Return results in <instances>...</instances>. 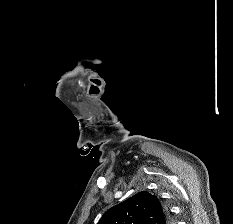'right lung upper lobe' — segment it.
<instances>
[{"instance_id":"1","label":"right lung upper lobe","mask_w":233,"mask_h":224,"mask_svg":"<svg viewBox=\"0 0 233 224\" xmlns=\"http://www.w3.org/2000/svg\"><path fill=\"white\" fill-rule=\"evenodd\" d=\"M172 218L159 201L142 191L109 209L97 224H171Z\"/></svg>"}]
</instances>
